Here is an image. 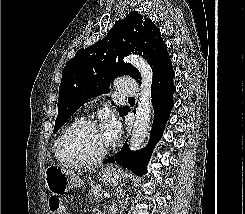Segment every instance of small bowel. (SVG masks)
<instances>
[{"label":"small bowel","instance_id":"c3829d8e","mask_svg":"<svg viewBox=\"0 0 245 214\" xmlns=\"http://www.w3.org/2000/svg\"><path fill=\"white\" fill-rule=\"evenodd\" d=\"M93 214H101L98 210H95Z\"/></svg>","mask_w":245,"mask_h":214}]
</instances>
